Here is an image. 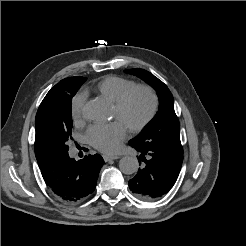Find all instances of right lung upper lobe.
Returning a JSON list of instances; mask_svg holds the SVG:
<instances>
[{
    "label": "right lung upper lobe",
    "mask_w": 246,
    "mask_h": 246,
    "mask_svg": "<svg viewBox=\"0 0 246 246\" xmlns=\"http://www.w3.org/2000/svg\"><path fill=\"white\" fill-rule=\"evenodd\" d=\"M86 79L81 76L69 77L61 80L58 84H56L45 96L40 107L37 111L36 118H35V144H34V151L35 156L37 159V163L39 168H42L50 159H52V155L49 150V146L47 144V140L45 137V123H46V115H45V103L49 100L54 92L63 85L71 83L76 80Z\"/></svg>",
    "instance_id": "right-lung-upper-lobe-1"
}]
</instances>
